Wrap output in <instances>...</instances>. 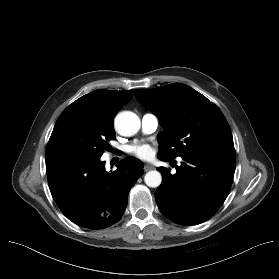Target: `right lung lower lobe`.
<instances>
[{
	"label": "right lung lower lobe",
	"instance_id": "right-lung-lower-lobe-1",
	"mask_svg": "<svg viewBox=\"0 0 279 279\" xmlns=\"http://www.w3.org/2000/svg\"><path fill=\"white\" fill-rule=\"evenodd\" d=\"M46 169L52 197L62 213L79 226L102 229L121 219L129 191L143 174V163L127 157L109 173L99 157L55 162Z\"/></svg>",
	"mask_w": 279,
	"mask_h": 279
}]
</instances>
